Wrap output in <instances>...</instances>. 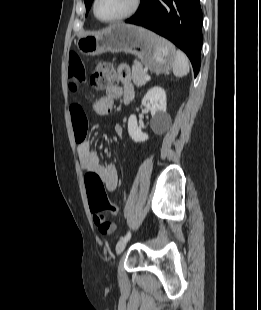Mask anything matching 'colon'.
I'll return each instance as SVG.
<instances>
[{"label":"colon","mask_w":261,"mask_h":310,"mask_svg":"<svg viewBox=\"0 0 261 310\" xmlns=\"http://www.w3.org/2000/svg\"><path fill=\"white\" fill-rule=\"evenodd\" d=\"M91 86L96 90L108 88L117 83L113 66L107 61H100L96 64L93 74L90 77ZM90 209L93 213V220L98 230L103 235L113 233L114 223L106 220L104 211L117 214L119 208L112 204L106 194L102 179L94 172L85 175Z\"/></svg>","instance_id":"obj_1"}]
</instances>
